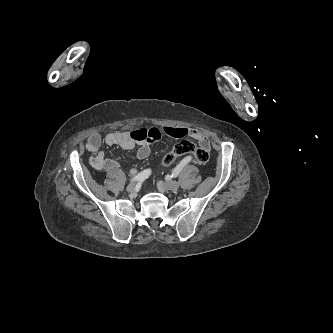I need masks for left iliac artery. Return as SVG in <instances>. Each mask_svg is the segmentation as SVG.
Segmentation results:
<instances>
[{
  "label": "left iliac artery",
  "instance_id": "obj_1",
  "mask_svg": "<svg viewBox=\"0 0 333 333\" xmlns=\"http://www.w3.org/2000/svg\"><path fill=\"white\" fill-rule=\"evenodd\" d=\"M184 164L181 162L179 163L173 170L172 172V177H177L178 174L181 172V170L183 169Z\"/></svg>",
  "mask_w": 333,
  "mask_h": 333
}]
</instances>
